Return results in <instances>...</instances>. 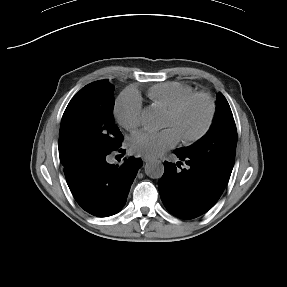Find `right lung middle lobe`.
Here are the masks:
<instances>
[{
	"mask_svg": "<svg viewBox=\"0 0 287 287\" xmlns=\"http://www.w3.org/2000/svg\"><path fill=\"white\" fill-rule=\"evenodd\" d=\"M108 81L99 80L83 87L63 114L59 157L65 171L122 143L112 115L114 86Z\"/></svg>",
	"mask_w": 287,
	"mask_h": 287,
	"instance_id": "obj_1",
	"label": "right lung middle lobe"
}]
</instances>
